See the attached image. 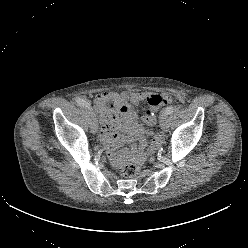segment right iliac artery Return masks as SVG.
Returning a JSON list of instances; mask_svg holds the SVG:
<instances>
[{
    "instance_id": "82829eb1",
    "label": "right iliac artery",
    "mask_w": 248,
    "mask_h": 248,
    "mask_svg": "<svg viewBox=\"0 0 248 248\" xmlns=\"http://www.w3.org/2000/svg\"><path fill=\"white\" fill-rule=\"evenodd\" d=\"M76 103L78 106L87 107L88 109L91 108L90 103H88L85 99L76 98Z\"/></svg>"
}]
</instances>
